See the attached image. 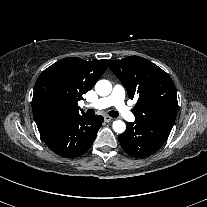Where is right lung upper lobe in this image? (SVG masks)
Returning <instances> with one entry per match:
<instances>
[{
	"label": "right lung upper lobe",
	"instance_id": "obj_1",
	"mask_svg": "<svg viewBox=\"0 0 207 207\" xmlns=\"http://www.w3.org/2000/svg\"><path fill=\"white\" fill-rule=\"evenodd\" d=\"M106 68V60L84 61L69 57L44 70L35 83L32 99L38 130L79 115L78 101L95 85Z\"/></svg>",
	"mask_w": 207,
	"mask_h": 207
}]
</instances>
